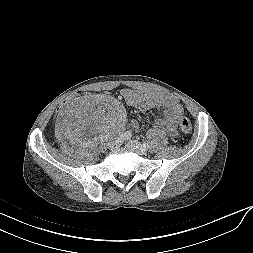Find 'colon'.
Wrapping results in <instances>:
<instances>
[{
    "label": "colon",
    "instance_id": "colon-1",
    "mask_svg": "<svg viewBox=\"0 0 253 253\" xmlns=\"http://www.w3.org/2000/svg\"><path fill=\"white\" fill-rule=\"evenodd\" d=\"M96 95L95 89H83L78 90L70 95H68L63 101L58 105V112L64 113L65 110L69 109L74 101L80 98L94 97ZM180 129L183 133L189 134L192 131V125L187 118H183L179 123Z\"/></svg>",
    "mask_w": 253,
    "mask_h": 253
}]
</instances>
